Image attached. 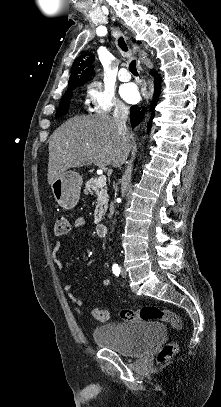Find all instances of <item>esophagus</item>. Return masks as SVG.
Returning <instances> with one entry per match:
<instances>
[{"instance_id":"obj_1","label":"esophagus","mask_w":221,"mask_h":407,"mask_svg":"<svg viewBox=\"0 0 221 407\" xmlns=\"http://www.w3.org/2000/svg\"><path fill=\"white\" fill-rule=\"evenodd\" d=\"M133 49H134L135 51H137V50H138V47L135 46V45H133ZM151 97H152V89H149L148 91H146V92L144 93V99H145L146 102H148Z\"/></svg>"}]
</instances>
